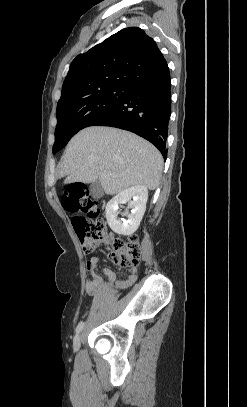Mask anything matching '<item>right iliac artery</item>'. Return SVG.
I'll use <instances>...</instances> for the list:
<instances>
[{"label": "right iliac artery", "mask_w": 247, "mask_h": 407, "mask_svg": "<svg viewBox=\"0 0 247 407\" xmlns=\"http://www.w3.org/2000/svg\"><path fill=\"white\" fill-rule=\"evenodd\" d=\"M83 326H84V322H80L78 324V326L76 327V333H79L83 329Z\"/></svg>", "instance_id": "obj_1"}]
</instances>
